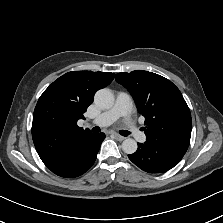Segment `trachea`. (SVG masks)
Returning a JSON list of instances; mask_svg holds the SVG:
<instances>
[{"instance_id":"3493384b","label":"trachea","mask_w":223,"mask_h":223,"mask_svg":"<svg viewBox=\"0 0 223 223\" xmlns=\"http://www.w3.org/2000/svg\"><path fill=\"white\" fill-rule=\"evenodd\" d=\"M92 131H93L94 133H98V132H100V128H99V127H94V128L92 129ZM120 134H121L122 136H128V135L130 134V132L127 131V130H121V131H120Z\"/></svg>"}]
</instances>
